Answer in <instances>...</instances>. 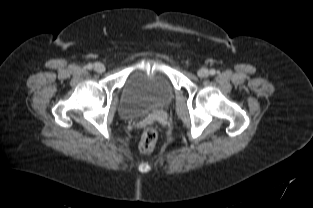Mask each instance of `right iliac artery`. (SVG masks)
<instances>
[{"label": "right iliac artery", "instance_id": "1", "mask_svg": "<svg viewBox=\"0 0 313 208\" xmlns=\"http://www.w3.org/2000/svg\"><path fill=\"white\" fill-rule=\"evenodd\" d=\"M92 67H93V65L91 63L87 64V66H86V68L89 70L92 69Z\"/></svg>", "mask_w": 313, "mask_h": 208}]
</instances>
